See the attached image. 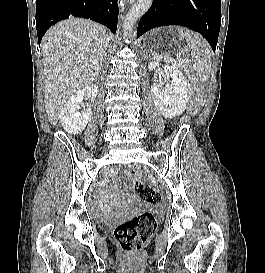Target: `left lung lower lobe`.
<instances>
[{"mask_svg": "<svg viewBox=\"0 0 265 273\" xmlns=\"http://www.w3.org/2000/svg\"><path fill=\"white\" fill-rule=\"evenodd\" d=\"M221 24V0H155L138 24L137 37L148 30L181 25L205 37L216 50Z\"/></svg>", "mask_w": 265, "mask_h": 273, "instance_id": "left-lung-lower-lobe-1", "label": "left lung lower lobe"}]
</instances>
